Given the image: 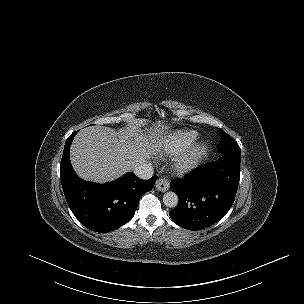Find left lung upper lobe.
<instances>
[{
	"label": "left lung upper lobe",
	"instance_id": "obj_1",
	"mask_svg": "<svg viewBox=\"0 0 304 304\" xmlns=\"http://www.w3.org/2000/svg\"><path fill=\"white\" fill-rule=\"evenodd\" d=\"M221 140L218 145V150L221 152H226L230 150L239 151L240 147L237 142L229 136L226 132L220 129Z\"/></svg>",
	"mask_w": 304,
	"mask_h": 304
}]
</instances>
